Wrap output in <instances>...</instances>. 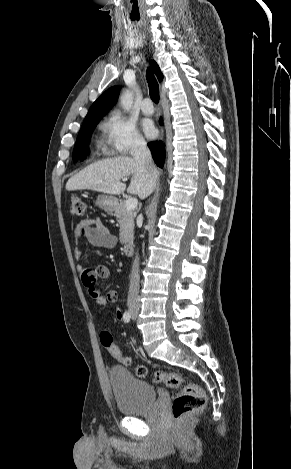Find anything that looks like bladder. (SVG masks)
<instances>
[{"instance_id": "31cf9c89", "label": "bladder", "mask_w": 291, "mask_h": 469, "mask_svg": "<svg viewBox=\"0 0 291 469\" xmlns=\"http://www.w3.org/2000/svg\"><path fill=\"white\" fill-rule=\"evenodd\" d=\"M117 409L124 416H139L151 410L156 400L154 387L122 366L109 370Z\"/></svg>"}]
</instances>
